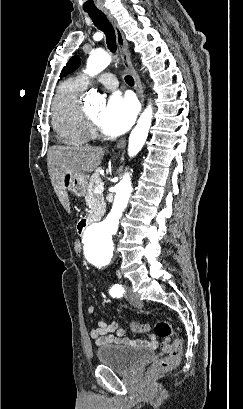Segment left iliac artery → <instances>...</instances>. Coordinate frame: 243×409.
<instances>
[{"instance_id": "obj_1", "label": "left iliac artery", "mask_w": 243, "mask_h": 409, "mask_svg": "<svg viewBox=\"0 0 243 409\" xmlns=\"http://www.w3.org/2000/svg\"><path fill=\"white\" fill-rule=\"evenodd\" d=\"M124 293V289L121 285L115 284L111 287L110 289V294L113 297H121L122 294Z\"/></svg>"}]
</instances>
